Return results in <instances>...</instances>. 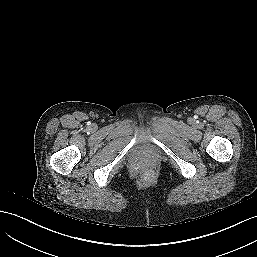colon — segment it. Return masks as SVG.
Instances as JSON below:
<instances>
[{
    "label": "colon",
    "mask_w": 257,
    "mask_h": 257,
    "mask_svg": "<svg viewBox=\"0 0 257 257\" xmlns=\"http://www.w3.org/2000/svg\"><path fill=\"white\" fill-rule=\"evenodd\" d=\"M153 178V173L151 171H144L140 175L142 182H149Z\"/></svg>",
    "instance_id": "1"
}]
</instances>
